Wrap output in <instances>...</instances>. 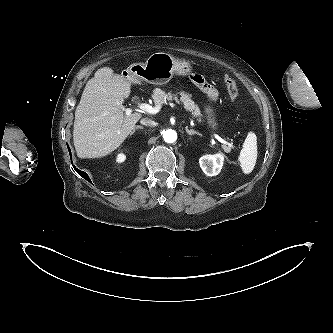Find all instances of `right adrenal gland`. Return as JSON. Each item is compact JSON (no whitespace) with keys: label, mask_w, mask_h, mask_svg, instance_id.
Segmentation results:
<instances>
[{"label":"right adrenal gland","mask_w":333,"mask_h":333,"mask_svg":"<svg viewBox=\"0 0 333 333\" xmlns=\"http://www.w3.org/2000/svg\"><path fill=\"white\" fill-rule=\"evenodd\" d=\"M137 129H143V126H135L134 129L131 131L130 135L134 134V132L137 130Z\"/></svg>","instance_id":"1"}]
</instances>
